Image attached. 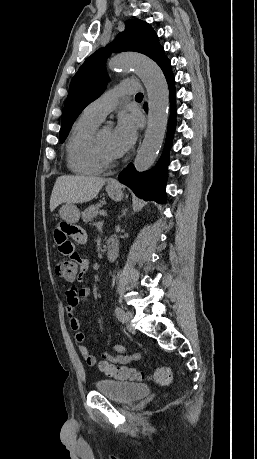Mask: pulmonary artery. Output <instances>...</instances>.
<instances>
[{"instance_id":"e3ab8cb5","label":"pulmonary artery","mask_w":257,"mask_h":459,"mask_svg":"<svg viewBox=\"0 0 257 459\" xmlns=\"http://www.w3.org/2000/svg\"><path fill=\"white\" fill-rule=\"evenodd\" d=\"M135 83L134 80H123L91 102L84 109L83 113L102 121L117 106L119 97L131 95L136 92Z\"/></svg>"}]
</instances>
